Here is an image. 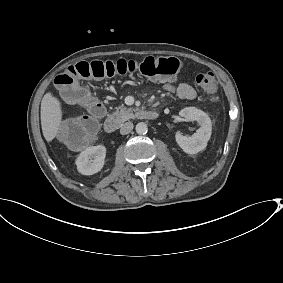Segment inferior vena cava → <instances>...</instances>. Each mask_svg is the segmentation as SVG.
Here are the masks:
<instances>
[{"label":"inferior vena cava","mask_w":283,"mask_h":283,"mask_svg":"<svg viewBox=\"0 0 283 283\" xmlns=\"http://www.w3.org/2000/svg\"><path fill=\"white\" fill-rule=\"evenodd\" d=\"M133 129V123L131 122H126L124 124L121 125V128H120V133L122 135H125V134H128L132 131Z\"/></svg>","instance_id":"602c4592"}]
</instances>
